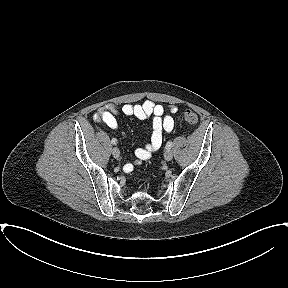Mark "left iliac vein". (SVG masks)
Listing matches in <instances>:
<instances>
[{"label": "left iliac vein", "mask_w": 288, "mask_h": 288, "mask_svg": "<svg viewBox=\"0 0 288 288\" xmlns=\"http://www.w3.org/2000/svg\"><path fill=\"white\" fill-rule=\"evenodd\" d=\"M164 157H165V160L166 161H171L172 158H173V153L172 151L169 149V150H166L165 154H164Z\"/></svg>", "instance_id": "4c4485c4"}]
</instances>
